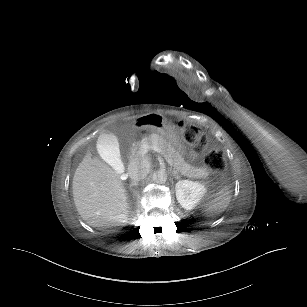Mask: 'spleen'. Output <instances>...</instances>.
<instances>
[{"label": "spleen", "mask_w": 307, "mask_h": 307, "mask_svg": "<svg viewBox=\"0 0 307 307\" xmlns=\"http://www.w3.org/2000/svg\"><path fill=\"white\" fill-rule=\"evenodd\" d=\"M233 199V191L230 188H223L215 197L214 201L206 206V214L209 217L218 216L225 206Z\"/></svg>", "instance_id": "obj_1"}]
</instances>
